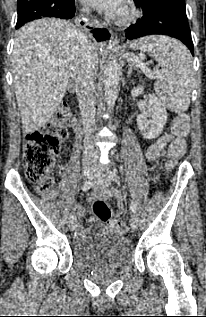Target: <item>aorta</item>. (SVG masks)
I'll list each match as a JSON object with an SVG mask.
<instances>
[{"mask_svg":"<svg viewBox=\"0 0 206 317\" xmlns=\"http://www.w3.org/2000/svg\"><path fill=\"white\" fill-rule=\"evenodd\" d=\"M121 68L118 60L113 57L109 60L104 77V89L109 108L113 107L118 96Z\"/></svg>","mask_w":206,"mask_h":317,"instance_id":"aorta-1","label":"aorta"}]
</instances>
